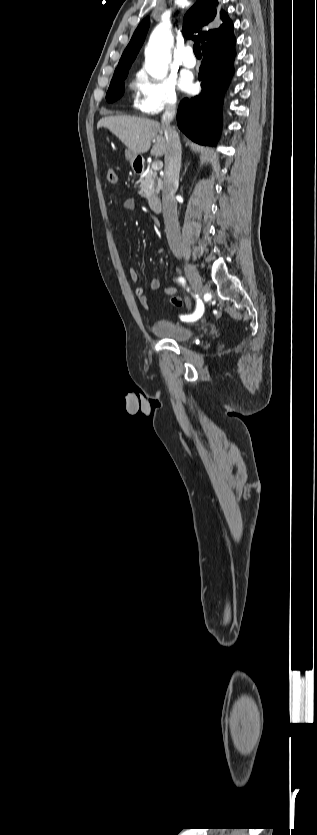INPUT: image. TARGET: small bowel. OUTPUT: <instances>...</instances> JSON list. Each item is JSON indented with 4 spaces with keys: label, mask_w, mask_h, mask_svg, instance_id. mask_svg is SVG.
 <instances>
[{
    "label": "small bowel",
    "mask_w": 317,
    "mask_h": 835,
    "mask_svg": "<svg viewBox=\"0 0 317 835\" xmlns=\"http://www.w3.org/2000/svg\"><path fill=\"white\" fill-rule=\"evenodd\" d=\"M136 203L137 202H136L135 198H129L123 203V207L127 210H131V209L135 208ZM129 277H130L132 282H137L138 281L139 276H138V272L135 268L131 267L129 269ZM150 287H151L152 290H159L161 288L160 280L158 278H152L151 281H150ZM164 292H165L166 295H174L177 292V288L174 287V286H166L164 288ZM135 294L137 295L140 303L144 307L149 306V300H148L147 295L145 294V290H144L143 287L137 286L135 288ZM196 308H197V306H196ZM195 311H196V309H195ZM193 313L191 315H193ZM186 317H188V316H186Z\"/></svg>",
    "instance_id": "c3829d8e"
}]
</instances>
